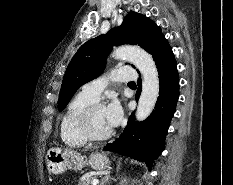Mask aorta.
<instances>
[{"label": "aorta", "mask_w": 233, "mask_h": 185, "mask_svg": "<svg viewBox=\"0 0 233 185\" xmlns=\"http://www.w3.org/2000/svg\"><path fill=\"white\" fill-rule=\"evenodd\" d=\"M112 57L117 60H127L140 71L142 91L136 110V119L145 120L154 109L160 90L158 71L152 56L140 47L121 46L113 51Z\"/></svg>", "instance_id": "obj_1"}]
</instances>
